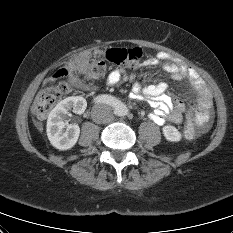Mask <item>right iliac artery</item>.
Wrapping results in <instances>:
<instances>
[{
  "label": "right iliac artery",
  "mask_w": 233,
  "mask_h": 233,
  "mask_svg": "<svg viewBox=\"0 0 233 233\" xmlns=\"http://www.w3.org/2000/svg\"><path fill=\"white\" fill-rule=\"evenodd\" d=\"M94 103L107 104L115 108L117 106L118 100L110 95H99L96 98H94Z\"/></svg>",
  "instance_id": "82829eb1"
}]
</instances>
